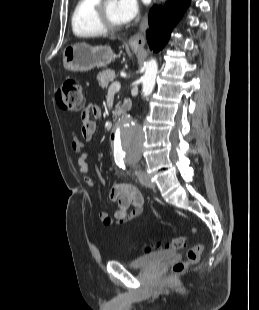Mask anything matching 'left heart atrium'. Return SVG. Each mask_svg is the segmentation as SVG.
<instances>
[{
  "instance_id": "obj_1",
  "label": "left heart atrium",
  "mask_w": 259,
  "mask_h": 310,
  "mask_svg": "<svg viewBox=\"0 0 259 310\" xmlns=\"http://www.w3.org/2000/svg\"><path fill=\"white\" fill-rule=\"evenodd\" d=\"M117 10L121 22L128 23L132 21L138 14V0H118Z\"/></svg>"
}]
</instances>
